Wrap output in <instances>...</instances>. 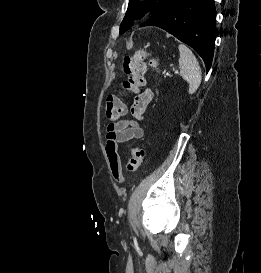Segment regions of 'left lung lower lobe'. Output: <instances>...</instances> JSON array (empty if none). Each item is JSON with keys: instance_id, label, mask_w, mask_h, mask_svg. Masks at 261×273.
<instances>
[{"instance_id": "0a47b994", "label": "left lung lower lobe", "mask_w": 261, "mask_h": 273, "mask_svg": "<svg viewBox=\"0 0 261 273\" xmlns=\"http://www.w3.org/2000/svg\"><path fill=\"white\" fill-rule=\"evenodd\" d=\"M141 26L164 29L191 46L204 60L207 71L211 68L216 32L214 0H172Z\"/></svg>"}]
</instances>
